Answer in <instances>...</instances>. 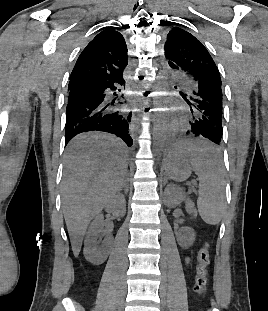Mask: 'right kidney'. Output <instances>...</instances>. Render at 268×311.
<instances>
[{"mask_svg": "<svg viewBox=\"0 0 268 311\" xmlns=\"http://www.w3.org/2000/svg\"><path fill=\"white\" fill-rule=\"evenodd\" d=\"M106 211L115 216H123L126 213V202L122 195H116L112 201L106 205ZM104 218L103 215L95 217L91 223L84 241V256L86 260L94 265L102 264L109 255L112 236L107 235L105 240L99 245L98 239L103 236Z\"/></svg>", "mask_w": 268, "mask_h": 311, "instance_id": "1", "label": "right kidney"}]
</instances>
